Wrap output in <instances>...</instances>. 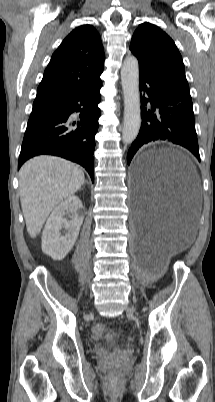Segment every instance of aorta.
<instances>
[{
  "label": "aorta",
  "instance_id": "obj_1",
  "mask_svg": "<svg viewBox=\"0 0 215 402\" xmlns=\"http://www.w3.org/2000/svg\"><path fill=\"white\" fill-rule=\"evenodd\" d=\"M121 83L124 94L123 143H132L140 129L141 109L139 93V65L134 56L126 57L121 68Z\"/></svg>",
  "mask_w": 215,
  "mask_h": 402
}]
</instances>
